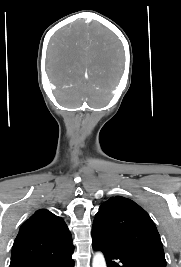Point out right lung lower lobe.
<instances>
[{
  "instance_id": "1",
  "label": "right lung lower lobe",
  "mask_w": 181,
  "mask_h": 267,
  "mask_svg": "<svg viewBox=\"0 0 181 267\" xmlns=\"http://www.w3.org/2000/svg\"><path fill=\"white\" fill-rule=\"evenodd\" d=\"M74 249L43 259H21L12 261L10 267H74Z\"/></svg>"
}]
</instances>
